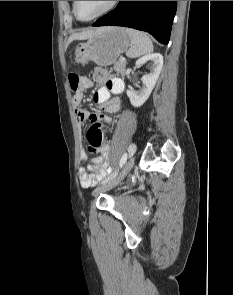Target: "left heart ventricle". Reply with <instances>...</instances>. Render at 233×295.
<instances>
[{"label":"left heart ventricle","mask_w":233,"mask_h":295,"mask_svg":"<svg viewBox=\"0 0 233 295\" xmlns=\"http://www.w3.org/2000/svg\"><path fill=\"white\" fill-rule=\"evenodd\" d=\"M111 1H78L77 13L83 19H88L103 9H105Z\"/></svg>","instance_id":"b2bd125f"}]
</instances>
